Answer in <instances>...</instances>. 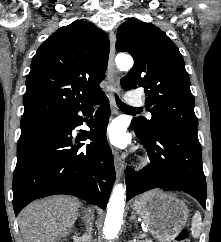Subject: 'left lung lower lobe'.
I'll use <instances>...</instances> for the list:
<instances>
[{
  "label": "left lung lower lobe",
  "mask_w": 221,
  "mask_h": 242,
  "mask_svg": "<svg viewBox=\"0 0 221 242\" xmlns=\"http://www.w3.org/2000/svg\"><path fill=\"white\" fill-rule=\"evenodd\" d=\"M133 127L144 144L151 164L140 172L127 170V201L154 188L184 191L206 208V179L197 131L159 126L151 133Z\"/></svg>",
  "instance_id": "left-lung-lower-lobe-1"
}]
</instances>
